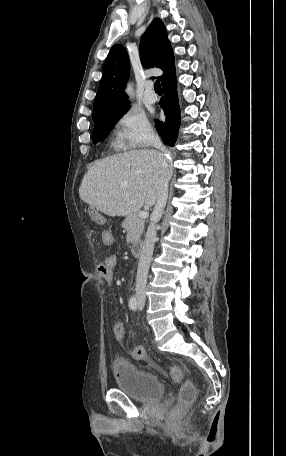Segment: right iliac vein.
I'll return each mask as SVG.
<instances>
[{"label": "right iliac vein", "instance_id": "obj_1", "mask_svg": "<svg viewBox=\"0 0 286 456\" xmlns=\"http://www.w3.org/2000/svg\"><path fill=\"white\" fill-rule=\"evenodd\" d=\"M139 301H143V299H142V298H139Z\"/></svg>", "mask_w": 286, "mask_h": 456}]
</instances>
